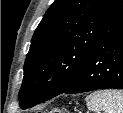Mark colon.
<instances>
[{
	"mask_svg": "<svg viewBox=\"0 0 123 113\" xmlns=\"http://www.w3.org/2000/svg\"><path fill=\"white\" fill-rule=\"evenodd\" d=\"M50 112L51 113H64V109L56 107V108H53Z\"/></svg>",
	"mask_w": 123,
	"mask_h": 113,
	"instance_id": "obj_1",
	"label": "colon"
}]
</instances>
